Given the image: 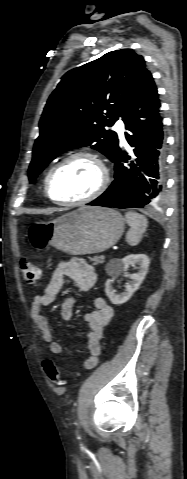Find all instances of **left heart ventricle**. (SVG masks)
<instances>
[{
	"instance_id": "left-heart-ventricle-1",
	"label": "left heart ventricle",
	"mask_w": 187,
	"mask_h": 479,
	"mask_svg": "<svg viewBox=\"0 0 187 479\" xmlns=\"http://www.w3.org/2000/svg\"><path fill=\"white\" fill-rule=\"evenodd\" d=\"M99 181L98 166L90 159L77 158L64 164L54 174L50 192L56 200H77L93 192Z\"/></svg>"
}]
</instances>
